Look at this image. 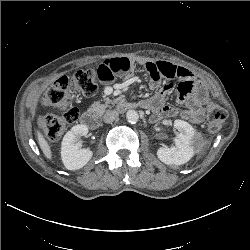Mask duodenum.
Segmentation results:
<instances>
[{
	"instance_id": "410a0bca",
	"label": "duodenum",
	"mask_w": 250,
	"mask_h": 250,
	"mask_svg": "<svg viewBox=\"0 0 250 250\" xmlns=\"http://www.w3.org/2000/svg\"><path fill=\"white\" fill-rule=\"evenodd\" d=\"M135 106L136 105L133 103L122 101L117 104V110L120 113H125ZM82 123L91 130L97 129L100 125L98 113L92 110L85 111L82 115Z\"/></svg>"
}]
</instances>
